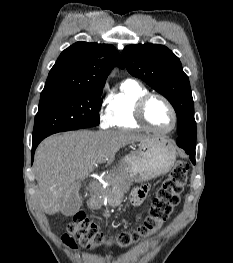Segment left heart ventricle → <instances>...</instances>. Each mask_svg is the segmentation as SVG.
Wrapping results in <instances>:
<instances>
[{
  "label": "left heart ventricle",
  "instance_id": "1",
  "mask_svg": "<svg viewBox=\"0 0 233 263\" xmlns=\"http://www.w3.org/2000/svg\"><path fill=\"white\" fill-rule=\"evenodd\" d=\"M146 117L149 123L161 130H166L172 125V114L166 104L160 99H152L146 108Z\"/></svg>",
  "mask_w": 233,
  "mask_h": 263
}]
</instances>
